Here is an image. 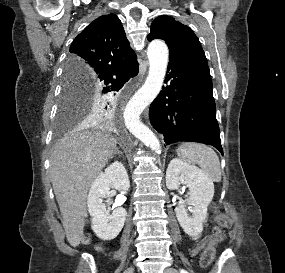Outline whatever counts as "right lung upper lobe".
Masks as SVG:
<instances>
[{"instance_id":"1","label":"right lung upper lobe","mask_w":285,"mask_h":273,"mask_svg":"<svg viewBox=\"0 0 285 273\" xmlns=\"http://www.w3.org/2000/svg\"><path fill=\"white\" fill-rule=\"evenodd\" d=\"M135 59L121 21L110 13L95 19L73 40L67 70L91 81L99 73Z\"/></svg>"}]
</instances>
